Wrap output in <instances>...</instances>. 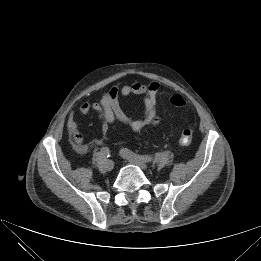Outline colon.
<instances>
[{
	"mask_svg": "<svg viewBox=\"0 0 261 261\" xmlns=\"http://www.w3.org/2000/svg\"><path fill=\"white\" fill-rule=\"evenodd\" d=\"M170 103L175 107H183L186 102L180 95H173L170 98ZM193 140V132L191 129H184L179 138L181 146H188Z\"/></svg>",
	"mask_w": 261,
	"mask_h": 261,
	"instance_id": "colon-1",
	"label": "colon"
}]
</instances>
